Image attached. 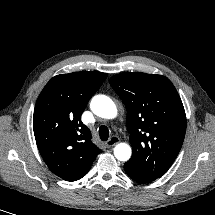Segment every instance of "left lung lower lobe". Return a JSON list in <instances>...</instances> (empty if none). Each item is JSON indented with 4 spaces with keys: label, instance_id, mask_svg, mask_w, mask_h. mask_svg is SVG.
<instances>
[{
    "label": "left lung lower lobe",
    "instance_id": "obj_1",
    "mask_svg": "<svg viewBox=\"0 0 215 215\" xmlns=\"http://www.w3.org/2000/svg\"><path fill=\"white\" fill-rule=\"evenodd\" d=\"M124 169L130 178H132L133 180L140 182V183H149V182H152L155 179H157V178H153V177H149V176H146L144 174H141V173L137 172L136 170H134V169H132L126 165H124Z\"/></svg>",
    "mask_w": 215,
    "mask_h": 215
}]
</instances>
